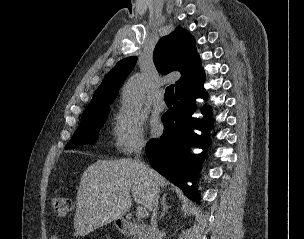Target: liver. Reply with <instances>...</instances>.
I'll use <instances>...</instances> for the list:
<instances>
[{
	"instance_id": "1",
	"label": "liver",
	"mask_w": 304,
	"mask_h": 239,
	"mask_svg": "<svg viewBox=\"0 0 304 239\" xmlns=\"http://www.w3.org/2000/svg\"><path fill=\"white\" fill-rule=\"evenodd\" d=\"M145 167L148 176L143 174L138 161L132 159L98 160L88 166L77 192L76 234L85 236L122 218L132 206L131 195L137 204L151 210L152 186L163 188L168 181L155 170Z\"/></svg>"
}]
</instances>
